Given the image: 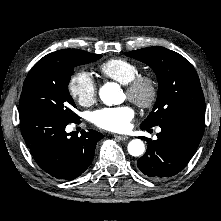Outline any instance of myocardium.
<instances>
[{"label": "myocardium", "mask_w": 221, "mask_h": 221, "mask_svg": "<svg viewBox=\"0 0 221 221\" xmlns=\"http://www.w3.org/2000/svg\"><path fill=\"white\" fill-rule=\"evenodd\" d=\"M127 98L141 109H150L158 97V85L151 75L139 74L125 84Z\"/></svg>", "instance_id": "f54148a6"}]
</instances>
